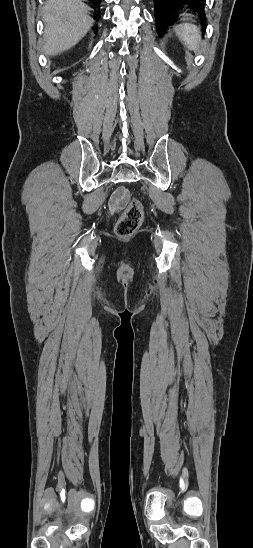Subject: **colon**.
Here are the masks:
<instances>
[{
    "label": "colon",
    "mask_w": 253,
    "mask_h": 548,
    "mask_svg": "<svg viewBox=\"0 0 253 548\" xmlns=\"http://www.w3.org/2000/svg\"><path fill=\"white\" fill-rule=\"evenodd\" d=\"M144 218L142 203L138 199H132L115 225V233L121 238L133 235L140 227Z\"/></svg>",
    "instance_id": "colon-1"
}]
</instances>
